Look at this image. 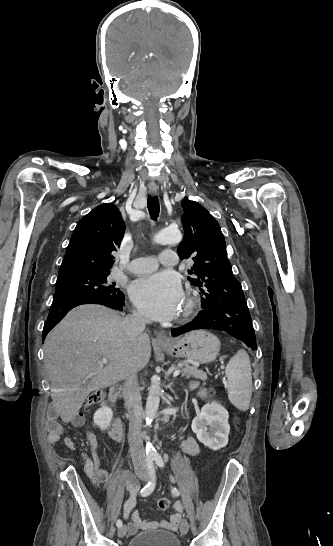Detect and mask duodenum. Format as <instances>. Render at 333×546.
Masks as SVG:
<instances>
[{"label":"duodenum","mask_w":333,"mask_h":546,"mask_svg":"<svg viewBox=\"0 0 333 546\" xmlns=\"http://www.w3.org/2000/svg\"><path fill=\"white\" fill-rule=\"evenodd\" d=\"M120 392H121V388L118 386L111 387L109 391L110 407L114 411H115L116 403L119 398ZM109 433L115 441L121 442L124 440V436H125L124 424L118 415H114L110 424Z\"/></svg>","instance_id":"1"}]
</instances>
